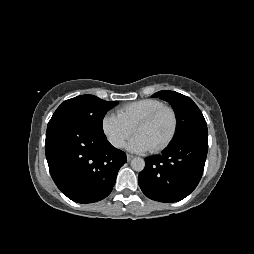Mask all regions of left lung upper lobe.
I'll return each mask as SVG.
<instances>
[{"label": "left lung upper lobe", "mask_w": 254, "mask_h": 254, "mask_svg": "<svg viewBox=\"0 0 254 254\" xmlns=\"http://www.w3.org/2000/svg\"><path fill=\"white\" fill-rule=\"evenodd\" d=\"M153 97L169 102L175 110L178 123L173 142L190 136H208L203 114L191 98L174 91H159L153 94Z\"/></svg>", "instance_id": "left-lung-upper-lobe-1"}]
</instances>
